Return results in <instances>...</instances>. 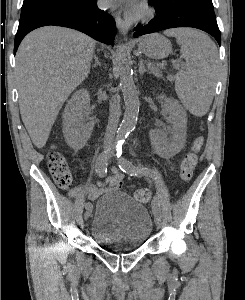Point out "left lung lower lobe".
Here are the masks:
<instances>
[{
  "label": "left lung lower lobe",
  "mask_w": 245,
  "mask_h": 300,
  "mask_svg": "<svg viewBox=\"0 0 245 300\" xmlns=\"http://www.w3.org/2000/svg\"><path fill=\"white\" fill-rule=\"evenodd\" d=\"M149 4L154 7L156 16L147 25H137L134 37L169 28L193 27L209 33L221 44L213 7L185 0H149Z\"/></svg>",
  "instance_id": "1"
}]
</instances>
